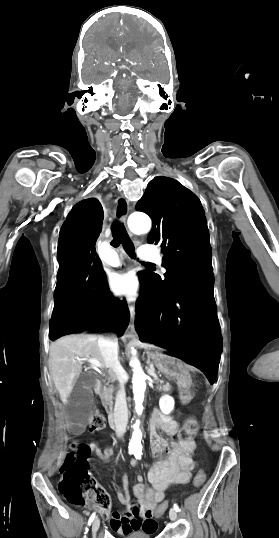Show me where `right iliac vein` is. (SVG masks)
Segmentation results:
<instances>
[{"label": "right iliac vein", "mask_w": 279, "mask_h": 538, "mask_svg": "<svg viewBox=\"0 0 279 538\" xmlns=\"http://www.w3.org/2000/svg\"><path fill=\"white\" fill-rule=\"evenodd\" d=\"M99 526H100V519L97 517L95 518V520L93 521V524H92V534H93V538L96 537V533L99 529Z\"/></svg>", "instance_id": "obj_1"}]
</instances>
